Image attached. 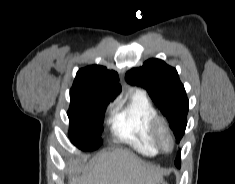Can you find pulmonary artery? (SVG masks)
<instances>
[{
	"instance_id": "1",
	"label": "pulmonary artery",
	"mask_w": 235,
	"mask_h": 184,
	"mask_svg": "<svg viewBox=\"0 0 235 184\" xmlns=\"http://www.w3.org/2000/svg\"><path fill=\"white\" fill-rule=\"evenodd\" d=\"M139 93L145 94V92H144V91H139Z\"/></svg>"
}]
</instances>
